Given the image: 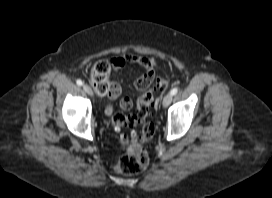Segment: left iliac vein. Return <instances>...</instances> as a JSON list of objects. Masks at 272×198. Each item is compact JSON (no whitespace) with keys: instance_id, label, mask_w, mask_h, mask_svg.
Wrapping results in <instances>:
<instances>
[{"instance_id":"4c4485c4","label":"left iliac vein","mask_w":272,"mask_h":198,"mask_svg":"<svg viewBox=\"0 0 272 198\" xmlns=\"http://www.w3.org/2000/svg\"><path fill=\"white\" fill-rule=\"evenodd\" d=\"M171 101H172V95L171 94L165 95L164 98H163V101H162L163 107L169 106Z\"/></svg>"}]
</instances>
